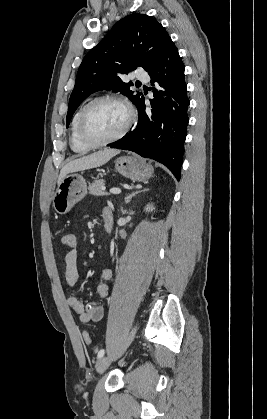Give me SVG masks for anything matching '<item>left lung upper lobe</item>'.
I'll use <instances>...</instances> for the list:
<instances>
[{"mask_svg":"<svg viewBox=\"0 0 267 419\" xmlns=\"http://www.w3.org/2000/svg\"><path fill=\"white\" fill-rule=\"evenodd\" d=\"M171 40L164 27L145 14H130L119 20L110 32L84 57L71 93L67 127L78 106L92 93L103 89L121 92L136 105L142 94L122 81L137 67L151 70Z\"/></svg>","mask_w":267,"mask_h":419,"instance_id":"left-lung-upper-lobe-1","label":"left lung upper lobe"}]
</instances>
